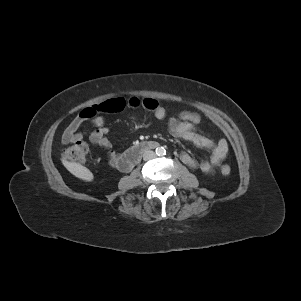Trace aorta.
<instances>
[{
  "label": "aorta",
  "instance_id": "obj_1",
  "mask_svg": "<svg viewBox=\"0 0 301 301\" xmlns=\"http://www.w3.org/2000/svg\"><path fill=\"white\" fill-rule=\"evenodd\" d=\"M166 154V150L164 147H157L156 148V155L162 156Z\"/></svg>",
  "mask_w": 301,
  "mask_h": 301
}]
</instances>
